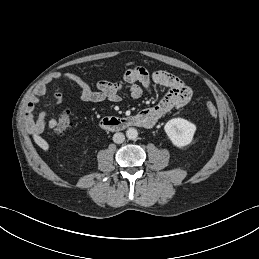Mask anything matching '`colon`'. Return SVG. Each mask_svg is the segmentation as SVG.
Segmentation results:
<instances>
[{"label": "colon", "mask_w": 259, "mask_h": 259, "mask_svg": "<svg viewBox=\"0 0 259 259\" xmlns=\"http://www.w3.org/2000/svg\"><path fill=\"white\" fill-rule=\"evenodd\" d=\"M206 110H207V113L212 117H215L217 115V109L215 105L210 102L206 104ZM71 126H72V120H71L70 114L62 113L59 116L57 123L53 128V131L57 135L64 134L71 128Z\"/></svg>", "instance_id": "colon-1"}]
</instances>
